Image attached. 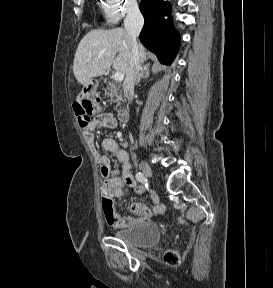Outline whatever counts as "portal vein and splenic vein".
Listing matches in <instances>:
<instances>
[{
  "label": "portal vein and splenic vein",
  "instance_id": "1",
  "mask_svg": "<svg viewBox=\"0 0 273 288\" xmlns=\"http://www.w3.org/2000/svg\"><path fill=\"white\" fill-rule=\"evenodd\" d=\"M114 80L117 82H121L124 79V75L121 72H116L113 76Z\"/></svg>",
  "mask_w": 273,
  "mask_h": 288
}]
</instances>
